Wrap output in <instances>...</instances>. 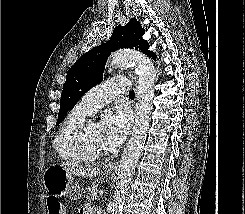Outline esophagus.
<instances>
[{"instance_id":"1","label":"esophagus","mask_w":245,"mask_h":214,"mask_svg":"<svg viewBox=\"0 0 245 214\" xmlns=\"http://www.w3.org/2000/svg\"><path fill=\"white\" fill-rule=\"evenodd\" d=\"M135 80H136V77L134 78ZM117 165V162H110L109 164H108V166L110 167V168H113V167H115Z\"/></svg>"}]
</instances>
